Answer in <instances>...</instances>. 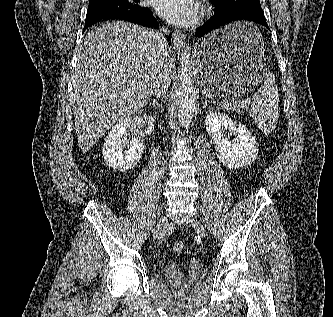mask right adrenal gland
<instances>
[{
    "label": "right adrenal gland",
    "instance_id": "obj_1",
    "mask_svg": "<svg viewBox=\"0 0 333 317\" xmlns=\"http://www.w3.org/2000/svg\"><path fill=\"white\" fill-rule=\"evenodd\" d=\"M149 104L152 105L153 107H155L156 109H160V107L162 105L161 103H159L158 100H154L153 102H150Z\"/></svg>",
    "mask_w": 333,
    "mask_h": 317
}]
</instances>
